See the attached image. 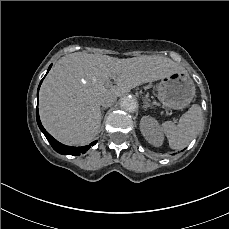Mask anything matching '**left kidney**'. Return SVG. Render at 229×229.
Instances as JSON below:
<instances>
[{
	"label": "left kidney",
	"mask_w": 229,
	"mask_h": 229,
	"mask_svg": "<svg viewBox=\"0 0 229 229\" xmlns=\"http://www.w3.org/2000/svg\"><path fill=\"white\" fill-rule=\"evenodd\" d=\"M140 130L151 145L160 147L163 144V131L154 118L143 116L140 121Z\"/></svg>",
	"instance_id": "obj_1"
}]
</instances>
